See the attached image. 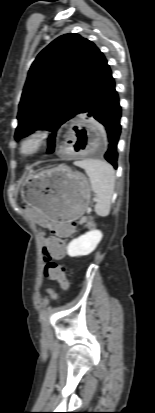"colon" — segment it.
Here are the masks:
<instances>
[{
	"mask_svg": "<svg viewBox=\"0 0 155 413\" xmlns=\"http://www.w3.org/2000/svg\"><path fill=\"white\" fill-rule=\"evenodd\" d=\"M73 228V224H66ZM63 244L57 236H51L47 239L42 253L45 262L44 277L50 280L58 281L59 287L67 290L70 287L69 276L65 273L64 267L58 264L54 259L62 257Z\"/></svg>",
	"mask_w": 155,
	"mask_h": 413,
	"instance_id": "1",
	"label": "colon"
}]
</instances>
